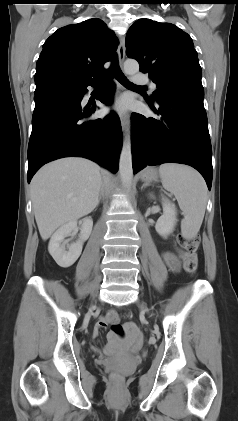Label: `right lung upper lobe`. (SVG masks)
I'll list each match as a JSON object with an SVG mask.
<instances>
[{"label":"right lung upper lobe","mask_w":238,"mask_h":421,"mask_svg":"<svg viewBox=\"0 0 238 421\" xmlns=\"http://www.w3.org/2000/svg\"><path fill=\"white\" fill-rule=\"evenodd\" d=\"M118 39L106 24L89 19L58 29L44 43L36 65L35 83L58 81L74 84L96 82L111 60Z\"/></svg>","instance_id":"obj_1"}]
</instances>
